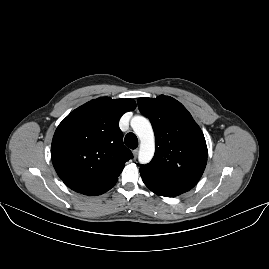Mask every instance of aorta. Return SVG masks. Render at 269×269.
Returning a JSON list of instances; mask_svg holds the SVG:
<instances>
[{"label": "aorta", "mask_w": 269, "mask_h": 269, "mask_svg": "<svg viewBox=\"0 0 269 269\" xmlns=\"http://www.w3.org/2000/svg\"><path fill=\"white\" fill-rule=\"evenodd\" d=\"M131 127L140 140L138 161L141 164L149 163L155 152V136L150 121L143 116H134Z\"/></svg>", "instance_id": "762f6f07"}]
</instances>
